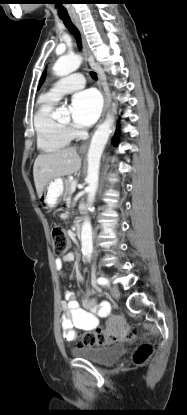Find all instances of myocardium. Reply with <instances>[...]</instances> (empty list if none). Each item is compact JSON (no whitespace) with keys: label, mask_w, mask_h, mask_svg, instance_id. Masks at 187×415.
<instances>
[{"label":"myocardium","mask_w":187,"mask_h":415,"mask_svg":"<svg viewBox=\"0 0 187 415\" xmlns=\"http://www.w3.org/2000/svg\"><path fill=\"white\" fill-rule=\"evenodd\" d=\"M65 128H67V124H62Z\"/></svg>","instance_id":"f54148a6"}]
</instances>
